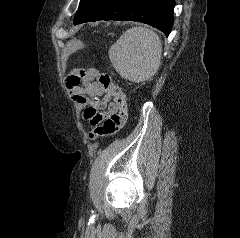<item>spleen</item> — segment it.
Masks as SVG:
<instances>
[{
  "label": "spleen",
  "instance_id": "spleen-1",
  "mask_svg": "<svg viewBox=\"0 0 240 238\" xmlns=\"http://www.w3.org/2000/svg\"><path fill=\"white\" fill-rule=\"evenodd\" d=\"M159 36L146 27H132L110 47L109 58L115 70L132 82L153 77L161 64Z\"/></svg>",
  "mask_w": 240,
  "mask_h": 238
}]
</instances>
